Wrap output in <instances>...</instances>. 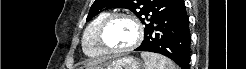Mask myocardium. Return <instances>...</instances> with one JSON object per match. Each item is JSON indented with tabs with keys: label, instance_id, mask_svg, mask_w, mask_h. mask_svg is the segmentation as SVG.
Here are the masks:
<instances>
[{
	"label": "myocardium",
	"instance_id": "1",
	"mask_svg": "<svg viewBox=\"0 0 246 69\" xmlns=\"http://www.w3.org/2000/svg\"><path fill=\"white\" fill-rule=\"evenodd\" d=\"M119 18L127 19L134 24L135 29H136V39L130 46H127V47L122 48V49H115V48L110 47L105 42L104 34H105L108 26L114 20L119 19ZM143 37H144V32H143V25H142L141 21L136 16L129 14V13H121V12L111 13L101 22V24L98 28V31H97V38H98L99 45L102 47V49L104 51H106L107 53H109L111 55H121V54H124L128 51L135 49L136 47H138L140 45V43L143 40Z\"/></svg>",
	"mask_w": 246,
	"mask_h": 69
}]
</instances>
